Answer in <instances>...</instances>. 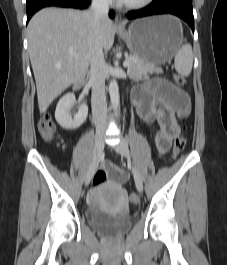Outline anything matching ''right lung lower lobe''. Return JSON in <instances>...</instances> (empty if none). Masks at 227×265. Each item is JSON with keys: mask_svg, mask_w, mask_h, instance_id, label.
<instances>
[{"mask_svg": "<svg viewBox=\"0 0 227 265\" xmlns=\"http://www.w3.org/2000/svg\"><path fill=\"white\" fill-rule=\"evenodd\" d=\"M90 1L91 0H27V22L35 12L44 7L58 6L84 9L88 7ZM109 15L113 17V11H111Z\"/></svg>", "mask_w": 227, "mask_h": 265, "instance_id": "1", "label": "right lung lower lobe"}]
</instances>
